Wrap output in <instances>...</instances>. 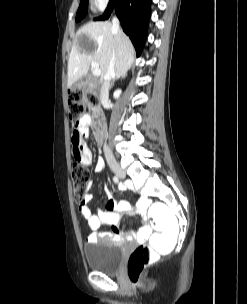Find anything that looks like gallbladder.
Wrapping results in <instances>:
<instances>
[{
    "label": "gallbladder",
    "mask_w": 247,
    "mask_h": 304,
    "mask_svg": "<svg viewBox=\"0 0 247 304\" xmlns=\"http://www.w3.org/2000/svg\"><path fill=\"white\" fill-rule=\"evenodd\" d=\"M86 81H87V78H86V77H82V78L76 83V86H77V87H82V86L85 85Z\"/></svg>",
    "instance_id": "1"
}]
</instances>
